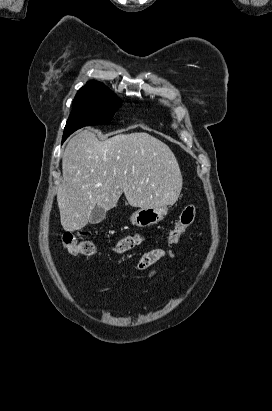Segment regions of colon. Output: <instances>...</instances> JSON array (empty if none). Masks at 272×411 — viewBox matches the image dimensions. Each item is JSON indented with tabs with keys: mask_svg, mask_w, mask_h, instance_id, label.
Wrapping results in <instances>:
<instances>
[{
	"mask_svg": "<svg viewBox=\"0 0 272 411\" xmlns=\"http://www.w3.org/2000/svg\"><path fill=\"white\" fill-rule=\"evenodd\" d=\"M197 210L192 204L183 208L178 221L168 235V242L177 243L182 235L191 227L196 218ZM62 243L65 249L73 255L91 256L95 253L96 247L89 239H79L70 231L62 234Z\"/></svg>",
	"mask_w": 272,
	"mask_h": 411,
	"instance_id": "1",
	"label": "colon"
}]
</instances>
